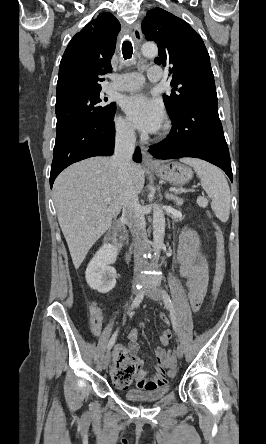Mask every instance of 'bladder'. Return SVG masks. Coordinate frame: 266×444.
<instances>
[{"label": "bladder", "instance_id": "obj_1", "mask_svg": "<svg viewBox=\"0 0 266 444\" xmlns=\"http://www.w3.org/2000/svg\"><path fill=\"white\" fill-rule=\"evenodd\" d=\"M170 391V386L165 385L155 389L139 390L135 388L128 389L124 392V396L135 401H156L162 399Z\"/></svg>", "mask_w": 266, "mask_h": 444}]
</instances>
